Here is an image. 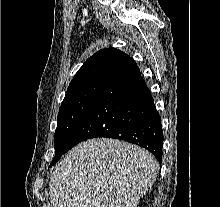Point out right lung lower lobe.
<instances>
[{
  "label": "right lung lower lobe",
  "instance_id": "1",
  "mask_svg": "<svg viewBox=\"0 0 220 207\" xmlns=\"http://www.w3.org/2000/svg\"><path fill=\"white\" fill-rule=\"evenodd\" d=\"M96 137L136 144L162 161L161 117L136 63L104 81L71 136L67 151L81 141Z\"/></svg>",
  "mask_w": 220,
  "mask_h": 207
}]
</instances>
